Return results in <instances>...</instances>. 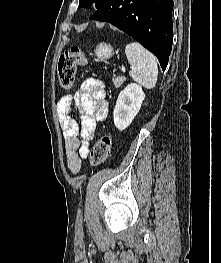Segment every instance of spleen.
Listing matches in <instances>:
<instances>
[{
  "label": "spleen",
  "instance_id": "1",
  "mask_svg": "<svg viewBox=\"0 0 221 263\" xmlns=\"http://www.w3.org/2000/svg\"><path fill=\"white\" fill-rule=\"evenodd\" d=\"M125 54L131 65V78L147 89L155 87L158 77L156 57L137 42L129 43Z\"/></svg>",
  "mask_w": 221,
  "mask_h": 263
}]
</instances>
